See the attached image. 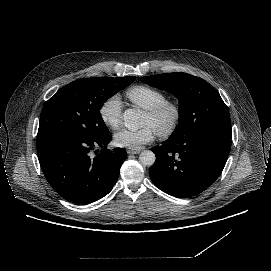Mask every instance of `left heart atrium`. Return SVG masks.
<instances>
[{
	"instance_id": "1",
	"label": "left heart atrium",
	"mask_w": 271,
	"mask_h": 271,
	"mask_svg": "<svg viewBox=\"0 0 271 271\" xmlns=\"http://www.w3.org/2000/svg\"><path fill=\"white\" fill-rule=\"evenodd\" d=\"M155 131L149 125H146L138 130L132 131L123 129L115 134L114 143L118 147L139 150L144 145L154 140Z\"/></svg>"
}]
</instances>
